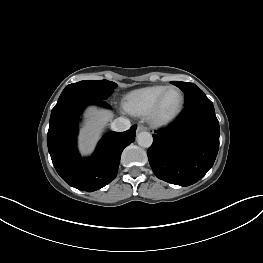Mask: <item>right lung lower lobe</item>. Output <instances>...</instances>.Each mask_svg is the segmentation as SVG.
<instances>
[{
  "label": "right lung lower lobe",
  "instance_id": "1",
  "mask_svg": "<svg viewBox=\"0 0 263 263\" xmlns=\"http://www.w3.org/2000/svg\"><path fill=\"white\" fill-rule=\"evenodd\" d=\"M90 104L106 108L105 100L75 96L52 109L47 135L48 150L57 173L72 187L87 192L109 184L117 175L121 153L134 142L136 125L125 132H108L90 158H82L76 147L79 119Z\"/></svg>",
  "mask_w": 263,
  "mask_h": 263
}]
</instances>
